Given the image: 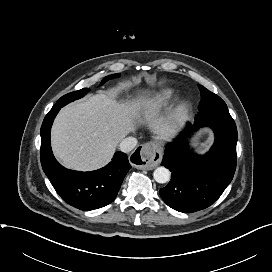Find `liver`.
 Here are the masks:
<instances>
[{
    "label": "liver",
    "instance_id": "obj_1",
    "mask_svg": "<svg viewBox=\"0 0 272 272\" xmlns=\"http://www.w3.org/2000/svg\"><path fill=\"white\" fill-rule=\"evenodd\" d=\"M116 98V93L110 91L61 109L52 127L51 143L55 156L65 167L92 171L105 166L118 143L135 131L143 111L156 139L174 134V127L155 117L148 99L125 103Z\"/></svg>",
    "mask_w": 272,
    "mask_h": 272
}]
</instances>
